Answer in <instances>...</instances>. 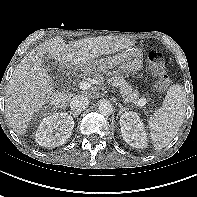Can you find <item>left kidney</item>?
I'll return each instance as SVG.
<instances>
[{"instance_id": "1", "label": "left kidney", "mask_w": 197, "mask_h": 197, "mask_svg": "<svg viewBox=\"0 0 197 197\" xmlns=\"http://www.w3.org/2000/svg\"><path fill=\"white\" fill-rule=\"evenodd\" d=\"M121 134L124 141L135 148L147 146L144 125L136 112H126L120 117Z\"/></svg>"}]
</instances>
